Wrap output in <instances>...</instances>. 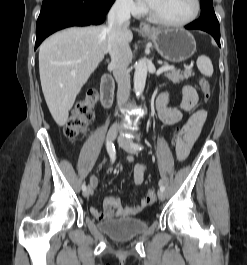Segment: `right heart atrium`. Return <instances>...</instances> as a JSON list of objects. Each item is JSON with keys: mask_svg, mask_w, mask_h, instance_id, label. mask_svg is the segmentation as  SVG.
Here are the masks:
<instances>
[{"mask_svg": "<svg viewBox=\"0 0 247 265\" xmlns=\"http://www.w3.org/2000/svg\"><path fill=\"white\" fill-rule=\"evenodd\" d=\"M119 8L125 12L137 15L143 11L142 6L134 0H116Z\"/></svg>", "mask_w": 247, "mask_h": 265, "instance_id": "d8ad5b80", "label": "right heart atrium"}]
</instances>
